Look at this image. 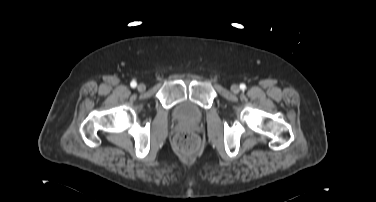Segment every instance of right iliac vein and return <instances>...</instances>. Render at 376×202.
<instances>
[{"label":"right iliac vein","instance_id":"63e3f726","mask_svg":"<svg viewBox=\"0 0 376 202\" xmlns=\"http://www.w3.org/2000/svg\"><path fill=\"white\" fill-rule=\"evenodd\" d=\"M137 89H138V91L143 92V91H145L146 86H145V84L141 83V84L138 85Z\"/></svg>","mask_w":376,"mask_h":202}]
</instances>
